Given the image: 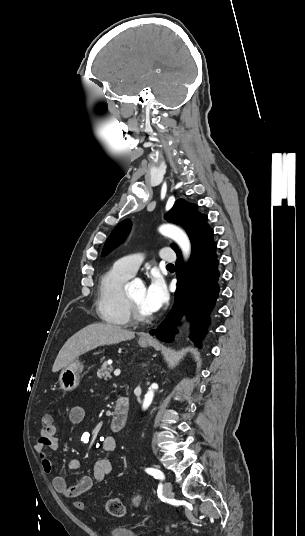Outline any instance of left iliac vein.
Returning <instances> with one entry per match:
<instances>
[{"instance_id":"4c4485c4","label":"left iliac vein","mask_w":305,"mask_h":536,"mask_svg":"<svg viewBox=\"0 0 305 536\" xmlns=\"http://www.w3.org/2000/svg\"><path fill=\"white\" fill-rule=\"evenodd\" d=\"M163 494H164V496H165L166 498H170V497H171V494H172V484H171L170 482H166V483H165Z\"/></svg>"}]
</instances>
